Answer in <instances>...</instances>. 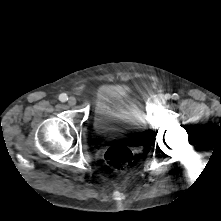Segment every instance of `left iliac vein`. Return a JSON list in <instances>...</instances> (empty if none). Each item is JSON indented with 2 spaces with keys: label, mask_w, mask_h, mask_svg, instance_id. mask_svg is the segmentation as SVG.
Segmentation results:
<instances>
[{
  "label": "left iliac vein",
  "mask_w": 221,
  "mask_h": 221,
  "mask_svg": "<svg viewBox=\"0 0 221 221\" xmlns=\"http://www.w3.org/2000/svg\"><path fill=\"white\" fill-rule=\"evenodd\" d=\"M166 96H163V97H161L160 99H159V101H160V103L161 104H164L165 103V101H166Z\"/></svg>",
  "instance_id": "1"
}]
</instances>
